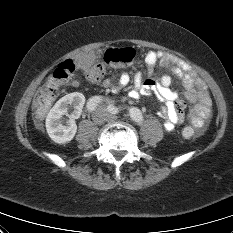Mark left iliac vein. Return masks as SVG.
I'll list each match as a JSON object with an SVG mask.
<instances>
[{
  "mask_svg": "<svg viewBox=\"0 0 233 233\" xmlns=\"http://www.w3.org/2000/svg\"><path fill=\"white\" fill-rule=\"evenodd\" d=\"M100 110H102V111H103L104 109H103V108H100ZM108 117H109L110 119H112V120L116 119V117H115V116H113V115H109Z\"/></svg>",
  "mask_w": 233,
  "mask_h": 233,
  "instance_id": "left-iliac-vein-1",
  "label": "left iliac vein"
}]
</instances>
